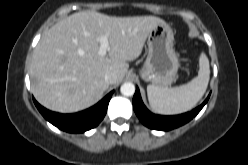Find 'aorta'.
<instances>
[{
	"label": "aorta",
	"mask_w": 248,
	"mask_h": 165,
	"mask_svg": "<svg viewBox=\"0 0 248 165\" xmlns=\"http://www.w3.org/2000/svg\"><path fill=\"white\" fill-rule=\"evenodd\" d=\"M120 92L124 96H132L135 93V86L131 82H125L121 85Z\"/></svg>",
	"instance_id": "1"
}]
</instances>
